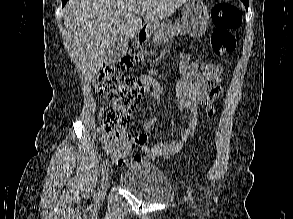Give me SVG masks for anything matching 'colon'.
Returning a JSON list of instances; mask_svg holds the SVG:
<instances>
[{
	"instance_id": "colon-1",
	"label": "colon",
	"mask_w": 293,
	"mask_h": 219,
	"mask_svg": "<svg viewBox=\"0 0 293 219\" xmlns=\"http://www.w3.org/2000/svg\"><path fill=\"white\" fill-rule=\"evenodd\" d=\"M211 18L214 26L211 36L213 52L216 55L231 53L236 47L234 31L242 23L240 11L230 3H217L211 9ZM144 58L143 47L136 43L127 56L117 63L103 66L95 78V90L107 102L100 111V123L109 134L127 128L137 103L143 98L144 88L132 74V69ZM212 69L217 77L222 75L221 66L214 65Z\"/></svg>"
}]
</instances>
